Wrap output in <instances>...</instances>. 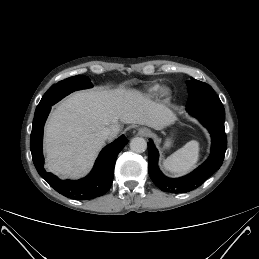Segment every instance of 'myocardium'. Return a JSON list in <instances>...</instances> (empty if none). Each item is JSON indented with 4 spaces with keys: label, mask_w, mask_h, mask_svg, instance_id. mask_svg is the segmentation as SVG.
Wrapping results in <instances>:
<instances>
[{
    "label": "myocardium",
    "mask_w": 259,
    "mask_h": 259,
    "mask_svg": "<svg viewBox=\"0 0 259 259\" xmlns=\"http://www.w3.org/2000/svg\"><path fill=\"white\" fill-rule=\"evenodd\" d=\"M161 95H162V97H164L165 99H168V98L170 97V95H171L170 90H169L168 88H163V89L161 90Z\"/></svg>",
    "instance_id": "1"
}]
</instances>
